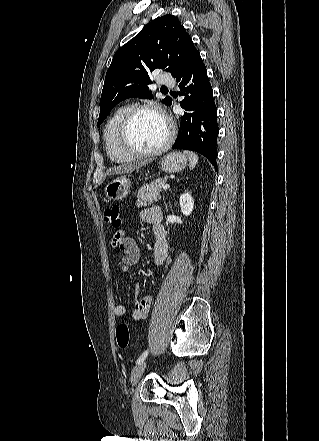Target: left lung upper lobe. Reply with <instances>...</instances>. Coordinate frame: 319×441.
<instances>
[{
    "label": "left lung upper lobe",
    "instance_id": "left-lung-upper-lobe-1",
    "mask_svg": "<svg viewBox=\"0 0 319 441\" xmlns=\"http://www.w3.org/2000/svg\"><path fill=\"white\" fill-rule=\"evenodd\" d=\"M185 28L173 15L158 17L114 55L100 99V126L114 106L132 97L152 98L149 74L155 69L180 75L198 54ZM162 102L168 106L172 99Z\"/></svg>",
    "mask_w": 319,
    "mask_h": 441
}]
</instances>
